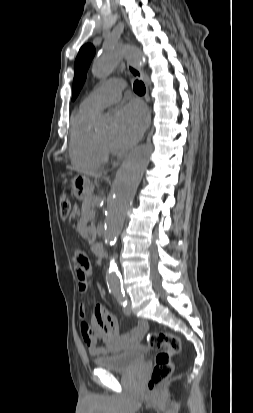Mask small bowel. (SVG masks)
Instances as JSON below:
<instances>
[{
    "label": "small bowel",
    "instance_id": "obj_1",
    "mask_svg": "<svg viewBox=\"0 0 253 413\" xmlns=\"http://www.w3.org/2000/svg\"><path fill=\"white\" fill-rule=\"evenodd\" d=\"M73 259L76 265L78 290L84 293L89 286L92 269L81 251H76ZM79 314L82 320L80 329L83 340L93 355L116 353L136 346L148 331L147 322L139 320L132 329L121 333L116 318L101 304L95 306L91 323L85 321L83 304L80 305ZM99 340H102L103 346L98 344Z\"/></svg>",
    "mask_w": 253,
    "mask_h": 413
}]
</instances>
